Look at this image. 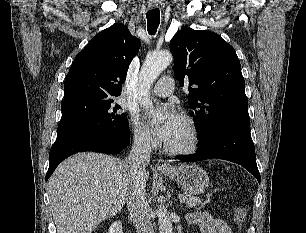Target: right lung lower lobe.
<instances>
[{
  "label": "right lung lower lobe",
  "instance_id": "98d812e1",
  "mask_svg": "<svg viewBox=\"0 0 306 233\" xmlns=\"http://www.w3.org/2000/svg\"><path fill=\"white\" fill-rule=\"evenodd\" d=\"M129 142V132L116 134L105 131H86L56 141L49 153L46 180L52 175L58 164L72 154L84 151L118 153L126 148Z\"/></svg>",
  "mask_w": 306,
  "mask_h": 233
}]
</instances>
